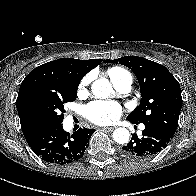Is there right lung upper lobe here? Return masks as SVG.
I'll use <instances>...</instances> for the list:
<instances>
[{
	"label": "right lung upper lobe",
	"instance_id": "cb5924a9",
	"mask_svg": "<svg viewBox=\"0 0 196 196\" xmlns=\"http://www.w3.org/2000/svg\"><path fill=\"white\" fill-rule=\"evenodd\" d=\"M101 62V59L61 58L36 67L26 76L21 83L16 100L21 129L26 140L41 130L25 110L28 94L40 87L79 85L84 75Z\"/></svg>",
	"mask_w": 196,
	"mask_h": 196
}]
</instances>
